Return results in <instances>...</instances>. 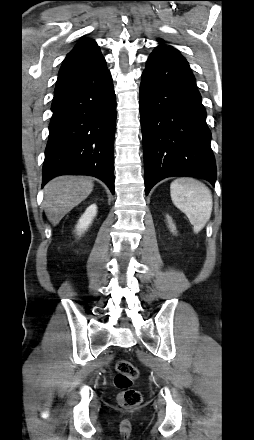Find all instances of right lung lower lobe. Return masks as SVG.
Segmentation results:
<instances>
[{
	"instance_id": "1",
	"label": "right lung lower lobe",
	"mask_w": 254,
	"mask_h": 440,
	"mask_svg": "<svg viewBox=\"0 0 254 440\" xmlns=\"http://www.w3.org/2000/svg\"><path fill=\"white\" fill-rule=\"evenodd\" d=\"M42 187L60 175H90L114 194L116 96L106 62L58 78Z\"/></svg>"
}]
</instances>
